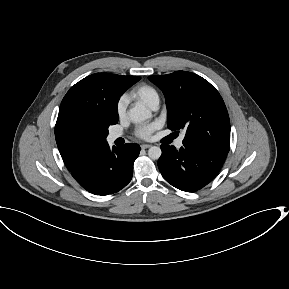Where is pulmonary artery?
<instances>
[{"label":"pulmonary artery","instance_id":"pulmonary-artery-1","mask_svg":"<svg viewBox=\"0 0 289 289\" xmlns=\"http://www.w3.org/2000/svg\"><path fill=\"white\" fill-rule=\"evenodd\" d=\"M158 103H159V102H155V103L151 106V108H152L153 110H156L157 107H158ZM121 136H122L121 133L112 132V133L109 134L108 140H109L110 142H113V141H115L117 138H119V137H121ZM183 139H184V135H182V136H180V137L178 138V140H177L176 143H175V145H176L177 148L182 147V145H183Z\"/></svg>","mask_w":289,"mask_h":289}]
</instances>
